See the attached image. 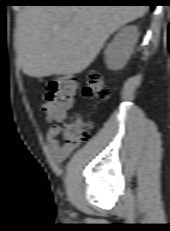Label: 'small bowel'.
Here are the masks:
<instances>
[{
    "label": "small bowel",
    "instance_id": "c3829d8e",
    "mask_svg": "<svg viewBox=\"0 0 170 231\" xmlns=\"http://www.w3.org/2000/svg\"><path fill=\"white\" fill-rule=\"evenodd\" d=\"M61 134L62 127L59 125L51 126L46 134L48 153L56 162L64 161L73 151L72 148L60 143L59 137Z\"/></svg>",
    "mask_w": 170,
    "mask_h": 231
}]
</instances>
